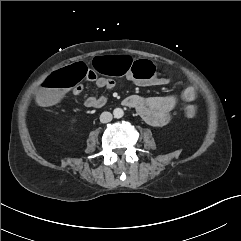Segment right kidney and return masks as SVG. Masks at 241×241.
I'll use <instances>...</instances> for the list:
<instances>
[{
  "label": "right kidney",
  "instance_id": "ca27d5eb",
  "mask_svg": "<svg viewBox=\"0 0 241 241\" xmlns=\"http://www.w3.org/2000/svg\"><path fill=\"white\" fill-rule=\"evenodd\" d=\"M77 122V119L76 118H73L72 120H71V123H76Z\"/></svg>",
  "mask_w": 241,
  "mask_h": 241
}]
</instances>
